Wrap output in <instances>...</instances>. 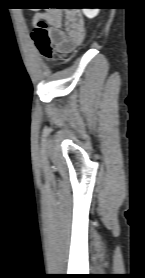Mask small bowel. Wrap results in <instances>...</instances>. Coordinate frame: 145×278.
<instances>
[{
    "instance_id": "small-bowel-1",
    "label": "small bowel",
    "mask_w": 145,
    "mask_h": 278,
    "mask_svg": "<svg viewBox=\"0 0 145 278\" xmlns=\"http://www.w3.org/2000/svg\"><path fill=\"white\" fill-rule=\"evenodd\" d=\"M37 15L32 28H36ZM50 25L48 29L49 38L54 49L62 56H67L83 42L85 38V27L78 13L71 10H53L46 15ZM64 19V27H63Z\"/></svg>"
}]
</instances>
